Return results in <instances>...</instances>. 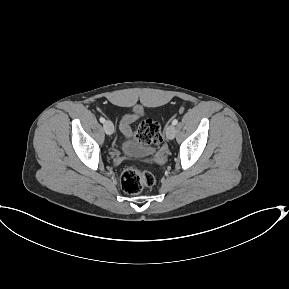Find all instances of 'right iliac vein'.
I'll list each match as a JSON object with an SVG mask.
<instances>
[{
	"label": "right iliac vein",
	"instance_id": "63e3f726",
	"mask_svg": "<svg viewBox=\"0 0 289 289\" xmlns=\"http://www.w3.org/2000/svg\"><path fill=\"white\" fill-rule=\"evenodd\" d=\"M103 128L105 133L108 135H111L114 132V125L111 121L104 122Z\"/></svg>",
	"mask_w": 289,
	"mask_h": 289
}]
</instances>
